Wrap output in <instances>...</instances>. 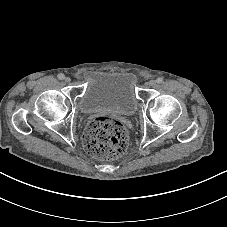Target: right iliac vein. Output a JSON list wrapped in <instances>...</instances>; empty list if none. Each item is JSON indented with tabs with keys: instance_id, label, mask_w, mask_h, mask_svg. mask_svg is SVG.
Here are the masks:
<instances>
[{
	"instance_id": "right-iliac-vein-1",
	"label": "right iliac vein",
	"mask_w": 227,
	"mask_h": 227,
	"mask_svg": "<svg viewBox=\"0 0 227 227\" xmlns=\"http://www.w3.org/2000/svg\"><path fill=\"white\" fill-rule=\"evenodd\" d=\"M64 81H65V82H70V81H71V78H70V77H65V78H64Z\"/></svg>"
}]
</instances>
